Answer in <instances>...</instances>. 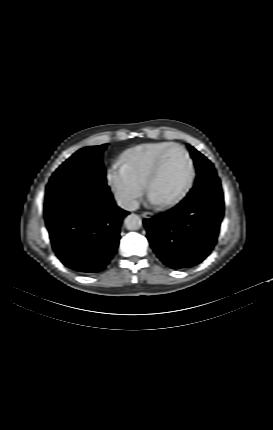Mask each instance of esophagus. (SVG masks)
<instances>
[{
  "label": "esophagus",
  "mask_w": 273,
  "mask_h": 430,
  "mask_svg": "<svg viewBox=\"0 0 273 430\" xmlns=\"http://www.w3.org/2000/svg\"><path fill=\"white\" fill-rule=\"evenodd\" d=\"M142 216L144 218L150 219L153 216V214L151 212L145 211L142 213Z\"/></svg>",
  "instance_id": "1"
}]
</instances>
